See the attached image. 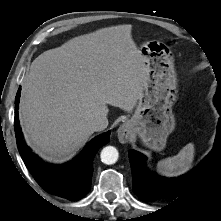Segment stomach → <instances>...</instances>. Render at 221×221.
<instances>
[{"instance_id": "1", "label": "stomach", "mask_w": 221, "mask_h": 221, "mask_svg": "<svg viewBox=\"0 0 221 221\" xmlns=\"http://www.w3.org/2000/svg\"><path fill=\"white\" fill-rule=\"evenodd\" d=\"M139 50L148 81L126 127L130 135L138 136L146 147L159 152L176 124L173 106L178 98V84L174 58L170 48L157 40L144 42Z\"/></svg>"}]
</instances>
